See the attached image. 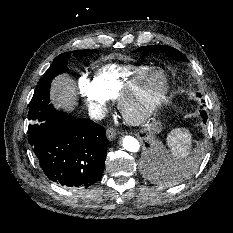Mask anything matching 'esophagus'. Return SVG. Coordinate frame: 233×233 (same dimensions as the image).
<instances>
[{
	"mask_svg": "<svg viewBox=\"0 0 233 233\" xmlns=\"http://www.w3.org/2000/svg\"><path fill=\"white\" fill-rule=\"evenodd\" d=\"M117 135V130L112 128V127H109L107 130H106V136L107 138L111 141L115 138V136Z\"/></svg>",
	"mask_w": 233,
	"mask_h": 233,
	"instance_id": "obj_1",
	"label": "esophagus"
}]
</instances>
